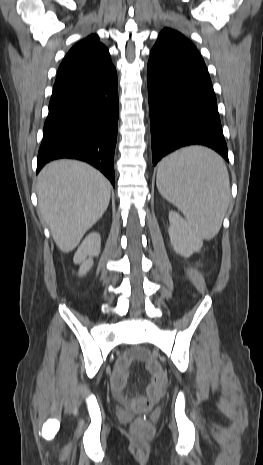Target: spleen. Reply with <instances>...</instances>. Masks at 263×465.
Listing matches in <instances>:
<instances>
[{"mask_svg":"<svg viewBox=\"0 0 263 465\" xmlns=\"http://www.w3.org/2000/svg\"><path fill=\"white\" fill-rule=\"evenodd\" d=\"M157 188L201 238L211 239L219 232L228 208L230 183L218 154L188 147L168 155L159 163Z\"/></svg>","mask_w":263,"mask_h":465,"instance_id":"1","label":"spleen"}]
</instances>
